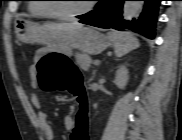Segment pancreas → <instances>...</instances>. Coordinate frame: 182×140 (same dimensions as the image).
I'll return each mask as SVG.
<instances>
[{
    "mask_svg": "<svg viewBox=\"0 0 182 140\" xmlns=\"http://www.w3.org/2000/svg\"><path fill=\"white\" fill-rule=\"evenodd\" d=\"M75 59H76L77 64L79 65V67L84 70H87L91 66L92 60L86 54L77 53L75 55Z\"/></svg>",
    "mask_w": 182,
    "mask_h": 140,
    "instance_id": "cf45deb5",
    "label": "pancreas"
}]
</instances>
